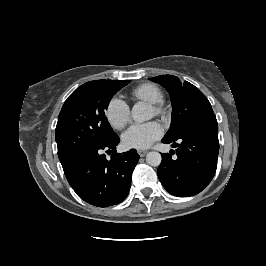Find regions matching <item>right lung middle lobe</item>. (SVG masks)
I'll return each instance as SVG.
<instances>
[{
	"label": "right lung middle lobe",
	"instance_id": "obj_1",
	"mask_svg": "<svg viewBox=\"0 0 266 266\" xmlns=\"http://www.w3.org/2000/svg\"><path fill=\"white\" fill-rule=\"evenodd\" d=\"M129 82L97 80L77 88L67 98L55 133L61 164L81 152L99 148L117 136L107 121L105 110L113 95Z\"/></svg>",
	"mask_w": 266,
	"mask_h": 266
}]
</instances>
